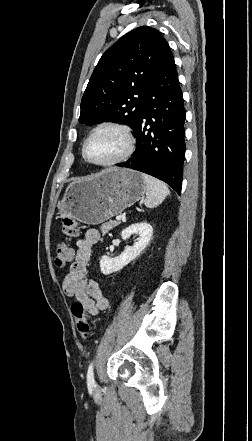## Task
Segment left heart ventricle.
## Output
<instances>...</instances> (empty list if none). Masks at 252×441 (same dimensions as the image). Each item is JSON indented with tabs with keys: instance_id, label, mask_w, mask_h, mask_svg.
Returning <instances> with one entry per match:
<instances>
[{
	"instance_id": "1",
	"label": "left heart ventricle",
	"mask_w": 252,
	"mask_h": 441,
	"mask_svg": "<svg viewBox=\"0 0 252 441\" xmlns=\"http://www.w3.org/2000/svg\"><path fill=\"white\" fill-rule=\"evenodd\" d=\"M125 142L115 130L105 129L95 134L87 145V155L97 162L114 159L124 150Z\"/></svg>"
}]
</instances>
